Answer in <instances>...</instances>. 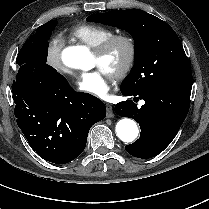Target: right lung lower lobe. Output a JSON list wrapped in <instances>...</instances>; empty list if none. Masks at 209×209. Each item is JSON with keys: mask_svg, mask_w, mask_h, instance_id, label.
<instances>
[{"mask_svg": "<svg viewBox=\"0 0 209 209\" xmlns=\"http://www.w3.org/2000/svg\"><path fill=\"white\" fill-rule=\"evenodd\" d=\"M17 124L36 153L66 164L84 150L89 129L106 116L101 100L75 92L53 67L23 64L13 81Z\"/></svg>", "mask_w": 209, "mask_h": 209, "instance_id": "1", "label": "right lung lower lobe"}]
</instances>
